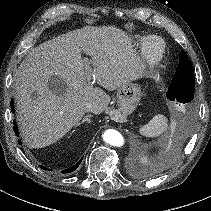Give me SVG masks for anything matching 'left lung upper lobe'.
<instances>
[{"label":"left lung upper lobe","instance_id":"1","mask_svg":"<svg viewBox=\"0 0 211 211\" xmlns=\"http://www.w3.org/2000/svg\"><path fill=\"white\" fill-rule=\"evenodd\" d=\"M195 75L187 54L182 50L179 55V64L171 84L166 93L171 101H177L186 106L193 103L195 92Z\"/></svg>","mask_w":211,"mask_h":211}]
</instances>
